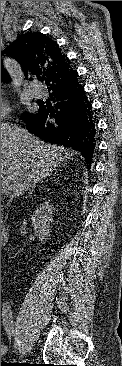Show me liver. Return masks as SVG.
<instances>
[{
    "mask_svg": "<svg viewBox=\"0 0 122 366\" xmlns=\"http://www.w3.org/2000/svg\"><path fill=\"white\" fill-rule=\"evenodd\" d=\"M73 154L62 146L45 143L25 129L1 124V179L13 196L43 180Z\"/></svg>",
    "mask_w": 122,
    "mask_h": 366,
    "instance_id": "liver-1",
    "label": "liver"
}]
</instances>
